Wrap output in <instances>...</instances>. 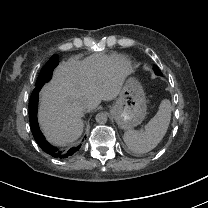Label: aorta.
Masks as SVG:
<instances>
[{"instance_id":"obj_1","label":"aorta","mask_w":208,"mask_h":208,"mask_svg":"<svg viewBox=\"0 0 208 208\" xmlns=\"http://www.w3.org/2000/svg\"><path fill=\"white\" fill-rule=\"evenodd\" d=\"M107 115L105 113H98L95 117V120L99 124H105L107 122Z\"/></svg>"}]
</instances>
